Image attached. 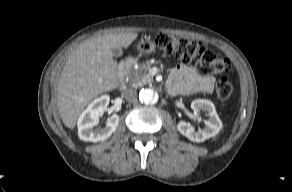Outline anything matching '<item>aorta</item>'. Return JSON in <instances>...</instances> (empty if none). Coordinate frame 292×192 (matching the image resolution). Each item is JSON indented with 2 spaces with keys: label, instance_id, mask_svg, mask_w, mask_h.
I'll list each match as a JSON object with an SVG mask.
<instances>
[{
  "label": "aorta",
  "instance_id": "aorta-1",
  "mask_svg": "<svg viewBox=\"0 0 292 192\" xmlns=\"http://www.w3.org/2000/svg\"><path fill=\"white\" fill-rule=\"evenodd\" d=\"M139 99L145 104H155L158 101V93L152 88H145L140 91Z\"/></svg>",
  "mask_w": 292,
  "mask_h": 192
}]
</instances>
